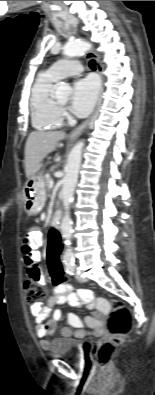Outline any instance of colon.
<instances>
[{"label":"colon","mask_w":155,"mask_h":395,"mask_svg":"<svg viewBox=\"0 0 155 395\" xmlns=\"http://www.w3.org/2000/svg\"><path fill=\"white\" fill-rule=\"evenodd\" d=\"M49 244L46 245L47 262L46 271L53 279V288H66L69 272H63L64 267L60 260L62 245H66V238L59 234V228H50ZM25 301L34 305L40 303L46 297V290L35 278L29 277L24 281ZM113 310L108 320L109 337L100 341L95 350V358L99 366L105 367L112 360L117 347L129 333L132 324V313L130 309L120 301H112Z\"/></svg>","instance_id":"obj_1"}]
</instances>
